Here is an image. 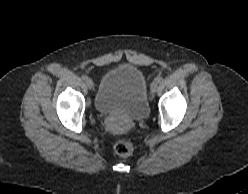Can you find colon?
Instances as JSON below:
<instances>
[{"instance_id": "5ec220e1", "label": "colon", "mask_w": 248, "mask_h": 194, "mask_svg": "<svg viewBox=\"0 0 248 194\" xmlns=\"http://www.w3.org/2000/svg\"><path fill=\"white\" fill-rule=\"evenodd\" d=\"M114 151L119 156H129L133 152V144L127 140H119L114 144Z\"/></svg>"}]
</instances>
